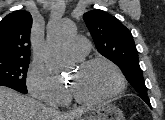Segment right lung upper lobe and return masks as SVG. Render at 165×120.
Instances as JSON below:
<instances>
[{
  "mask_svg": "<svg viewBox=\"0 0 165 120\" xmlns=\"http://www.w3.org/2000/svg\"><path fill=\"white\" fill-rule=\"evenodd\" d=\"M32 16L15 11L0 22V58L30 59Z\"/></svg>",
  "mask_w": 165,
  "mask_h": 120,
  "instance_id": "obj_1",
  "label": "right lung upper lobe"
}]
</instances>
